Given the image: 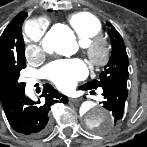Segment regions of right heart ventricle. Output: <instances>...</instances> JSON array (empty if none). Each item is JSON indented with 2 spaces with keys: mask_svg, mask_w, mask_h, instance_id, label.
I'll list each match as a JSON object with an SVG mask.
<instances>
[{
  "mask_svg": "<svg viewBox=\"0 0 147 147\" xmlns=\"http://www.w3.org/2000/svg\"><path fill=\"white\" fill-rule=\"evenodd\" d=\"M68 20L81 44H86L101 33L102 25L99 19L89 12L73 14Z\"/></svg>",
  "mask_w": 147,
  "mask_h": 147,
  "instance_id": "obj_1",
  "label": "right heart ventricle"
}]
</instances>
